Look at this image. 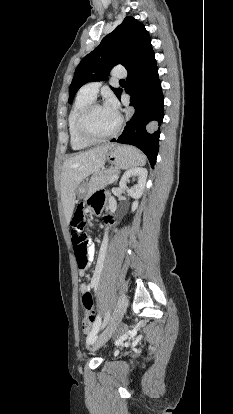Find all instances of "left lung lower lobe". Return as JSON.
Here are the masks:
<instances>
[{"label":"left lung lower lobe","mask_w":233,"mask_h":414,"mask_svg":"<svg viewBox=\"0 0 233 414\" xmlns=\"http://www.w3.org/2000/svg\"><path fill=\"white\" fill-rule=\"evenodd\" d=\"M125 91L131 96L130 106L134 107L135 112L122 134L111 141L136 146L146 154L153 167L160 137V131L156 128L164 117V97L154 53L136 69L128 72ZM121 93L122 90L118 98Z\"/></svg>","instance_id":"left-lung-lower-lobe-1"}]
</instances>
